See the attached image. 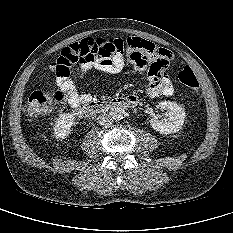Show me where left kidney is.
<instances>
[{
  "label": "left kidney",
  "instance_id": "left-kidney-1",
  "mask_svg": "<svg viewBox=\"0 0 233 233\" xmlns=\"http://www.w3.org/2000/svg\"><path fill=\"white\" fill-rule=\"evenodd\" d=\"M158 107L168 112V118L159 120L158 118H152L150 120L151 127L161 134H171L178 132L185 121V110L182 106L175 102L162 101L158 104Z\"/></svg>",
  "mask_w": 233,
  "mask_h": 233
}]
</instances>
